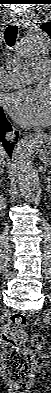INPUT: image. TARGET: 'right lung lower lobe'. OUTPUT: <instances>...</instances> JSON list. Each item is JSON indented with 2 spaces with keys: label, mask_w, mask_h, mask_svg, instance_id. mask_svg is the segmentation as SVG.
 <instances>
[{
  "label": "right lung lower lobe",
  "mask_w": 51,
  "mask_h": 393,
  "mask_svg": "<svg viewBox=\"0 0 51 393\" xmlns=\"http://www.w3.org/2000/svg\"><path fill=\"white\" fill-rule=\"evenodd\" d=\"M9 131H12V127H11L10 123L7 121V119L5 118L4 112L2 110L0 112V149L2 147H4L5 150L7 151V153L9 154V156H11L15 142H9L4 139L5 133L9 132ZM15 134H16V136H18L17 131H15ZM16 140H17V138H16Z\"/></svg>",
  "instance_id": "right-lung-lower-lobe-1"
}]
</instances>
